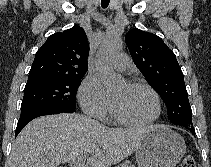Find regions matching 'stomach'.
I'll list each match as a JSON object with an SVG mask.
<instances>
[{
    "instance_id": "0dacf381",
    "label": "stomach",
    "mask_w": 211,
    "mask_h": 167,
    "mask_svg": "<svg viewBox=\"0 0 211 167\" xmlns=\"http://www.w3.org/2000/svg\"><path fill=\"white\" fill-rule=\"evenodd\" d=\"M186 152L183 138L164 126H154L136 150L139 167H175Z\"/></svg>"
}]
</instances>
